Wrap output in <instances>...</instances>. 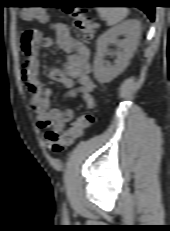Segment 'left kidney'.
Wrapping results in <instances>:
<instances>
[{
    "mask_svg": "<svg viewBox=\"0 0 170 231\" xmlns=\"http://www.w3.org/2000/svg\"><path fill=\"white\" fill-rule=\"evenodd\" d=\"M140 34V21L127 20L112 27L98 38L97 53L94 57V76L99 83H109L124 71L137 48ZM120 35H125V39L118 40ZM110 44H115L119 48L114 65L104 62Z\"/></svg>",
    "mask_w": 170,
    "mask_h": 231,
    "instance_id": "5707ae66",
    "label": "left kidney"
}]
</instances>
